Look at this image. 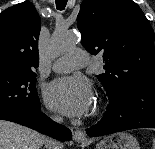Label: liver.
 Masks as SVG:
<instances>
[{"mask_svg": "<svg viewBox=\"0 0 155 149\" xmlns=\"http://www.w3.org/2000/svg\"><path fill=\"white\" fill-rule=\"evenodd\" d=\"M45 139L36 131L0 120V149H42Z\"/></svg>", "mask_w": 155, "mask_h": 149, "instance_id": "6515ba94", "label": "liver"}]
</instances>
